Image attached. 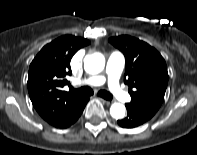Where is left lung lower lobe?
<instances>
[{
  "mask_svg": "<svg viewBox=\"0 0 197 155\" xmlns=\"http://www.w3.org/2000/svg\"><path fill=\"white\" fill-rule=\"evenodd\" d=\"M126 108L128 111L127 117L117 121L118 124L123 128L138 127L150 119L145 114L141 113L140 111L128 104H126Z\"/></svg>",
  "mask_w": 197,
  "mask_h": 155,
  "instance_id": "0a47b994",
  "label": "left lung lower lobe"
}]
</instances>
